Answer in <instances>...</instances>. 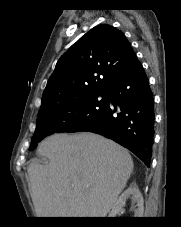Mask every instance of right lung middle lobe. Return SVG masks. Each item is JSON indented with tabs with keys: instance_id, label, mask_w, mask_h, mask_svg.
I'll return each instance as SVG.
<instances>
[{
	"instance_id": "1",
	"label": "right lung middle lobe",
	"mask_w": 181,
	"mask_h": 227,
	"mask_svg": "<svg viewBox=\"0 0 181 227\" xmlns=\"http://www.w3.org/2000/svg\"><path fill=\"white\" fill-rule=\"evenodd\" d=\"M108 104V91H102L39 110L29 150H34L49 135L81 131L92 124L106 110Z\"/></svg>"
}]
</instances>
